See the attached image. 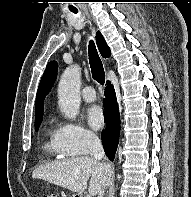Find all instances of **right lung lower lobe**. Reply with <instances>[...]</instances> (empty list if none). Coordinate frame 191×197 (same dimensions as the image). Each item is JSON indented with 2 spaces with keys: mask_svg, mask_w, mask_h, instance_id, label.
<instances>
[{
  "mask_svg": "<svg viewBox=\"0 0 191 197\" xmlns=\"http://www.w3.org/2000/svg\"><path fill=\"white\" fill-rule=\"evenodd\" d=\"M104 108L106 130L102 133V144L106 155L113 161L119 142L120 115L115 90L110 81H107L105 88Z\"/></svg>",
  "mask_w": 191,
  "mask_h": 197,
  "instance_id": "98d812e1",
  "label": "right lung lower lobe"
}]
</instances>
